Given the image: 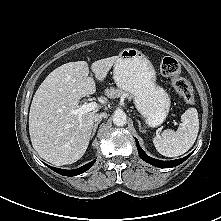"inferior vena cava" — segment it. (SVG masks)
<instances>
[{"mask_svg": "<svg viewBox=\"0 0 221 221\" xmlns=\"http://www.w3.org/2000/svg\"><path fill=\"white\" fill-rule=\"evenodd\" d=\"M107 117V113H100V114H96L94 116V121L95 122H99L101 121L103 118H106Z\"/></svg>", "mask_w": 221, "mask_h": 221, "instance_id": "obj_1", "label": "inferior vena cava"}]
</instances>
